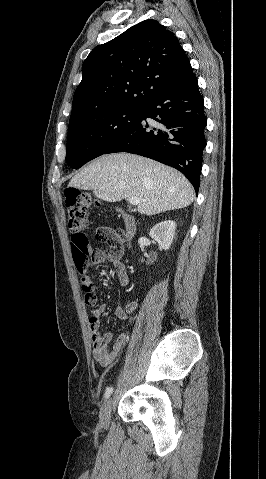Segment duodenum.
Returning <instances> with one entry per match:
<instances>
[{
    "instance_id": "duodenum-1",
    "label": "duodenum",
    "mask_w": 266,
    "mask_h": 479,
    "mask_svg": "<svg viewBox=\"0 0 266 479\" xmlns=\"http://www.w3.org/2000/svg\"><path fill=\"white\" fill-rule=\"evenodd\" d=\"M123 219L125 222V234L122 243L113 245V247L110 249V255L113 258H120L125 254L126 250L130 246L132 238L135 235L136 228L134 219L127 214L123 215Z\"/></svg>"
}]
</instances>
